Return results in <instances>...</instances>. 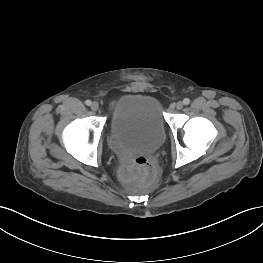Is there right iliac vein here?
<instances>
[{
	"label": "right iliac vein",
	"instance_id": "1",
	"mask_svg": "<svg viewBox=\"0 0 263 263\" xmlns=\"http://www.w3.org/2000/svg\"><path fill=\"white\" fill-rule=\"evenodd\" d=\"M98 108H99V105H98L97 102H93V103L91 104V109H92L93 111H97Z\"/></svg>",
	"mask_w": 263,
	"mask_h": 263
}]
</instances>
